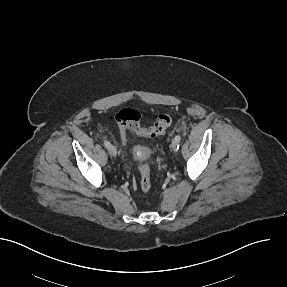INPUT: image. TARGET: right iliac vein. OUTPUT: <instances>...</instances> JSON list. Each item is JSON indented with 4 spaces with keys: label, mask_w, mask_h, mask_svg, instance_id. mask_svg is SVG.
<instances>
[{
    "label": "right iliac vein",
    "mask_w": 287,
    "mask_h": 287,
    "mask_svg": "<svg viewBox=\"0 0 287 287\" xmlns=\"http://www.w3.org/2000/svg\"><path fill=\"white\" fill-rule=\"evenodd\" d=\"M108 152H109V154H110L111 156H113V157H115V156L117 155V149H116V147L113 146V145H110V146L108 147Z\"/></svg>",
    "instance_id": "1"
}]
</instances>
